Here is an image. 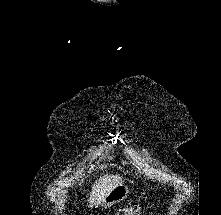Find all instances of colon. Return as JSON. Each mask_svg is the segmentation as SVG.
<instances>
[{"mask_svg": "<svg viewBox=\"0 0 221 215\" xmlns=\"http://www.w3.org/2000/svg\"><path fill=\"white\" fill-rule=\"evenodd\" d=\"M140 213H141L140 205L134 203L126 208L121 209L117 215H140Z\"/></svg>", "mask_w": 221, "mask_h": 215, "instance_id": "colon-1", "label": "colon"}]
</instances>
